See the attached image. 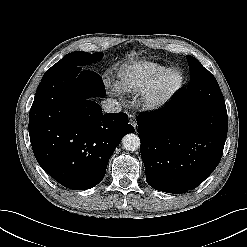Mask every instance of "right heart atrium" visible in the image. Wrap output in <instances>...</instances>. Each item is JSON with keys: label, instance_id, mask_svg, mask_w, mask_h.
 Wrapping results in <instances>:
<instances>
[{"label": "right heart atrium", "instance_id": "d8ad5b80", "mask_svg": "<svg viewBox=\"0 0 247 247\" xmlns=\"http://www.w3.org/2000/svg\"><path fill=\"white\" fill-rule=\"evenodd\" d=\"M114 93L119 94L118 90L116 88H113Z\"/></svg>", "mask_w": 247, "mask_h": 247}]
</instances>
